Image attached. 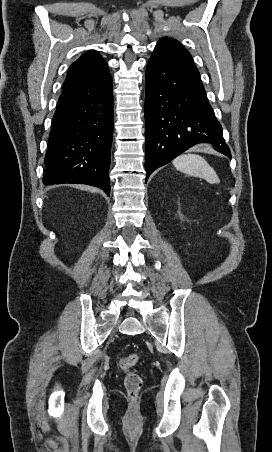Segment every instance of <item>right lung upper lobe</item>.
<instances>
[{
	"instance_id": "cb5924a9",
	"label": "right lung upper lobe",
	"mask_w": 272,
	"mask_h": 452,
	"mask_svg": "<svg viewBox=\"0 0 272 452\" xmlns=\"http://www.w3.org/2000/svg\"><path fill=\"white\" fill-rule=\"evenodd\" d=\"M109 76L108 65L101 55L93 50L86 52L71 64L62 94L94 86Z\"/></svg>"
}]
</instances>
